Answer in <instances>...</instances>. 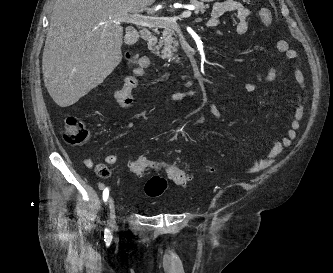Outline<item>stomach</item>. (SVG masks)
I'll return each mask as SVG.
<instances>
[{
	"mask_svg": "<svg viewBox=\"0 0 333 273\" xmlns=\"http://www.w3.org/2000/svg\"><path fill=\"white\" fill-rule=\"evenodd\" d=\"M202 2H213L214 0H201Z\"/></svg>",
	"mask_w": 333,
	"mask_h": 273,
	"instance_id": "1",
	"label": "stomach"
}]
</instances>
